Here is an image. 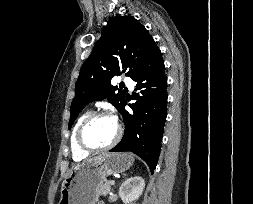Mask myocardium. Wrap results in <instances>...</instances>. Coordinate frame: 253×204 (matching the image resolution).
Returning a JSON list of instances; mask_svg holds the SVG:
<instances>
[{
    "instance_id": "f54148a6",
    "label": "myocardium",
    "mask_w": 253,
    "mask_h": 204,
    "mask_svg": "<svg viewBox=\"0 0 253 204\" xmlns=\"http://www.w3.org/2000/svg\"><path fill=\"white\" fill-rule=\"evenodd\" d=\"M100 117H110V115L105 112H102V111L92 112L80 124L78 131H77V143H78V146L83 151H86L88 153H97V152L107 151V150L113 148L115 145H117V143L120 141L121 136H122V128L117 123L116 135H115L114 139L109 144L102 146V147H93V146L89 145L88 143H86V141L84 139V131H85L86 127L93 120L100 118Z\"/></svg>"
}]
</instances>
